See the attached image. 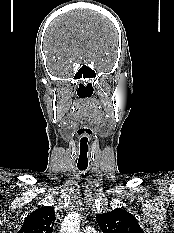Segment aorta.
<instances>
[{
    "mask_svg": "<svg viewBox=\"0 0 174 233\" xmlns=\"http://www.w3.org/2000/svg\"><path fill=\"white\" fill-rule=\"evenodd\" d=\"M80 215L77 212L68 214L61 223L60 233H79Z\"/></svg>",
    "mask_w": 174,
    "mask_h": 233,
    "instance_id": "1",
    "label": "aorta"
}]
</instances>
